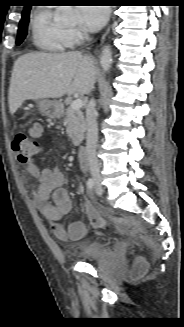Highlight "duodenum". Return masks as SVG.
<instances>
[{"mask_svg": "<svg viewBox=\"0 0 184 327\" xmlns=\"http://www.w3.org/2000/svg\"><path fill=\"white\" fill-rule=\"evenodd\" d=\"M79 161L82 167H86L88 165V151L85 146L79 147Z\"/></svg>", "mask_w": 184, "mask_h": 327, "instance_id": "1", "label": "duodenum"}]
</instances>
